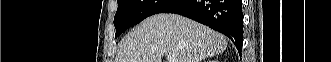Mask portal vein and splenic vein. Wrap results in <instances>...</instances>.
<instances>
[{"label": "portal vein and splenic vein", "mask_w": 331, "mask_h": 62, "mask_svg": "<svg viewBox=\"0 0 331 62\" xmlns=\"http://www.w3.org/2000/svg\"><path fill=\"white\" fill-rule=\"evenodd\" d=\"M167 60L168 62H176L177 58L174 54H168Z\"/></svg>", "instance_id": "18ae733b"}]
</instances>
